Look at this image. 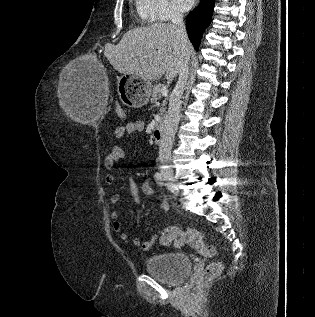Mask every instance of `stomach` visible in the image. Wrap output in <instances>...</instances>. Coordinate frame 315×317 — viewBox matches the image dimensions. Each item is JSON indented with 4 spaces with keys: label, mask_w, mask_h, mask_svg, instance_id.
I'll use <instances>...</instances> for the list:
<instances>
[{
    "label": "stomach",
    "mask_w": 315,
    "mask_h": 317,
    "mask_svg": "<svg viewBox=\"0 0 315 317\" xmlns=\"http://www.w3.org/2000/svg\"><path fill=\"white\" fill-rule=\"evenodd\" d=\"M117 92L124 105L140 108L149 101L152 85L136 74H123L117 81Z\"/></svg>",
    "instance_id": "stomach-1"
}]
</instances>
